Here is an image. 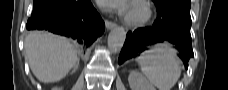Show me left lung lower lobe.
Here are the masks:
<instances>
[{
    "mask_svg": "<svg viewBox=\"0 0 228 90\" xmlns=\"http://www.w3.org/2000/svg\"><path fill=\"white\" fill-rule=\"evenodd\" d=\"M190 28V13H183L179 17L158 13L152 27L139 28L127 33L118 63L122 64L125 60L135 57L138 53L143 52L148 45L168 41L176 45L185 68H188V61L194 56Z\"/></svg>",
    "mask_w": 228,
    "mask_h": 90,
    "instance_id": "left-lung-lower-lobe-1",
    "label": "left lung lower lobe"
}]
</instances>
